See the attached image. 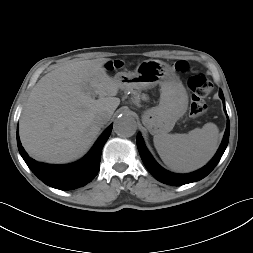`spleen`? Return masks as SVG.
Listing matches in <instances>:
<instances>
[{
    "instance_id": "spleen-1",
    "label": "spleen",
    "mask_w": 253,
    "mask_h": 253,
    "mask_svg": "<svg viewBox=\"0 0 253 253\" xmlns=\"http://www.w3.org/2000/svg\"><path fill=\"white\" fill-rule=\"evenodd\" d=\"M219 130L206 123L187 134H157L155 148L162 161L172 170L191 172L205 165L218 148Z\"/></svg>"
}]
</instances>
